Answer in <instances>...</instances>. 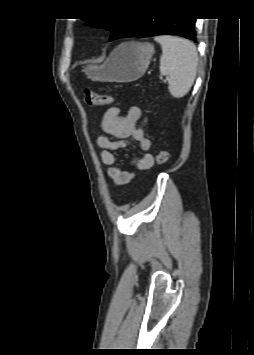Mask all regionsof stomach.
<instances>
[{"label": "stomach", "instance_id": "stomach-1", "mask_svg": "<svg viewBox=\"0 0 254 355\" xmlns=\"http://www.w3.org/2000/svg\"><path fill=\"white\" fill-rule=\"evenodd\" d=\"M153 54L154 46L150 43L125 42L102 65H87L84 72L97 81L132 82L145 74Z\"/></svg>", "mask_w": 254, "mask_h": 355}]
</instances>
